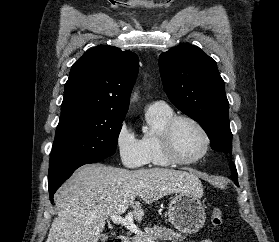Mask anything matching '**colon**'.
I'll return each instance as SVG.
<instances>
[{"label": "colon", "instance_id": "colon-1", "mask_svg": "<svg viewBox=\"0 0 279 242\" xmlns=\"http://www.w3.org/2000/svg\"><path fill=\"white\" fill-rule=\"evenodd\" d=\"M211 223L215 227H220L223 224V212L219 207H215L211 210L210 214Z\"/></svg>", "mask_w": 279, "mask_h": 242}]
</instances>
